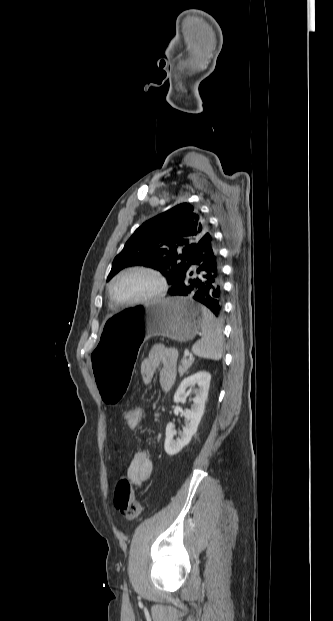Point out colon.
Wrapping results in <instances>:
<instances>
[{"label":"colon","instance_id":"obj_1","mask_svg":"<svg viewBox=\"0 0 333 621\" xmlns=\"http://www.w3.org/2000/svg\"><path fill=\"white\" fill-rule=\"evenodd\" d=\"M129 428H136L140 424L143 412L134 407L126 410L123 414ZM114 505L121 515L129 520L137 519L140 515V505L136 501L131 482L127 478L118 481L114 491Z\"/></svg>","mask_w":333,"mask_h":621}]
</instances>
